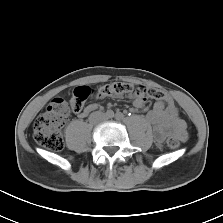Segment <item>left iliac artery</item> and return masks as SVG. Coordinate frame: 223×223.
I'll list each match as a JSON object with an SVG mask.
<instances>
[{"instance_id": "left-iliac-artery-1", "label": "left iliac artery", "mask_w": 223, "mask_h": 223, "mask_svg": "<svg viewBox=\"0 0 223 223\" xmlns=\"http://www.w3.org/2000/svg\"><path fill=\"white\" fill-rule=\"evenodd\" d=\"M115 118H116L117 120H121V119L124 118V115H123L122 113H120V112H117L116 115H115Z\"/></svg>"}]
</instances>
